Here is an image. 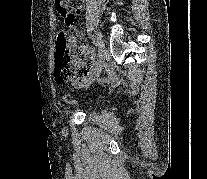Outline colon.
Instances as JSON below:
<instances>
[{"label":"colon","mask_w":207,"mask_h":179,"mask_svg":"<svg viewBox=\"0 0 207 179\" xmlns=\"http://www.w3.org/2000/svg\"><path fill=\"white\" fill-rule=\"evenodd\" d=\"M57 12L71 24L73 15L72 0H55ZM72 46V44H71ZM66 32H60L55 40V79L62 83L79 82L89 74L90 59L80 50H72ZM73 48V47H72Z\"/></svg>","instance_id":"1"}]
</instances>
